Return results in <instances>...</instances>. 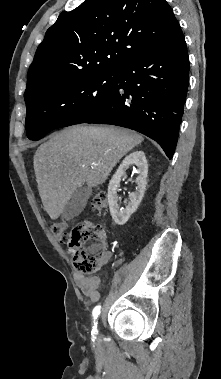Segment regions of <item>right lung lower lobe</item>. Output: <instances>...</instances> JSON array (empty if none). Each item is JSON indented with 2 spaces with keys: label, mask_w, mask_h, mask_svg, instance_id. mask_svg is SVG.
<instances>
[{
  "label": "right lung lower lobe",
  "mask_w": 221,
  "mask_h": 379,
  "mask_svg": "<svg viewBox=\"0 0 221 379\" xmlns=\"http://www.w3.org/2000/svg\"><path fill=\"white\" fill-rule=\"evenodd\" d=\"M189 81V59L182 31L135 55L117 69L109 100L79 123L111 124L157 141L173 157ZM70 126V125H69Z\"/></svg>",
  "instance_id": "1"
}]
</instances>
